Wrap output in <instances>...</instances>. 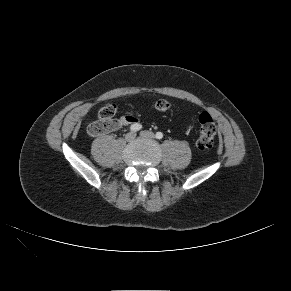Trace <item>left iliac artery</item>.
Instances as JSON below:
<instances>
[{"label":"left iliac artery","mask_w":291,"mask_h":291,"mask_svg":"<svg viewBox=\"0 0 291 291\" xmlns=\"http://www.w3.org/2000/svg\"><path fill=\"white\" fill-rule=\"evenodd\" d=\"M155 137L157 139H162L163 138V133L162 132H157L156 135H155Z\"/></svg>","instance_id":"obj_1"}]
</instances>
